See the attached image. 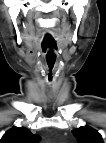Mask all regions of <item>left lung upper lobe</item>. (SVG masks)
I'll return each mask as SVG.
<instances>
[{
  "instance_id": "obj_1",
  "label": "left lung upper lobe",
  "mask_w": 106,
  "mask_h": 143,
  "mask_svg": "<svg viewBox=\"0 0 106 143\" xmlns=\"http://www.w3.org/2000/svg\"><path fill=\"white\" fill-rule=\"evenodd\" d=\"M72 133L79 143H103L101 134L89 126L76 128Z\"/></svg>"
}]
</instances>
